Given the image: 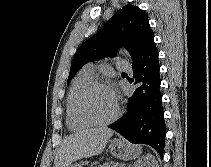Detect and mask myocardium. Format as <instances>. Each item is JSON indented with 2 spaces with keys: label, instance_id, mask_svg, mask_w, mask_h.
Here are the masks:
<instances>
[{
  "label": "myocardium",
  "instance_id": "f54148a6",
  "mask_svg": "<svg viewBox=\"0 0 211 167\" xmlns=\"http://www.w3.org/2000/svg\"><path fill=\"white\" fill-rule=\"evenodd\" d=\"M99 87L111 90L105 82H103L101 80H97V79L92 80L80 92L78 99H77V103H76V109H77V113L80 116V118L83 119L85 122L89 123L90 125L106 126V125L113 123L119 117L120 107H119L118 100L116 98H115V104H116L115 112L110 118H108L106 120H97V119L93 118L86 111V108H85L86 97L92 90L99 88Z\"/></svg>",
  "mask_w": 211,
  "mask_h": 167
}]
</instances>
